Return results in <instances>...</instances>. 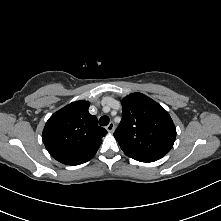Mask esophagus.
Here are the masks:
<instances>
[{
	"instance_id": "34e87169",
	"label": "esophagus",
	"mask_w": 221,
	"mask_h": 221,
	"mask_svg": "<svg viewBox=\"0 0 221 221\" xmlns=\"http://www.w3.org/2000/svg\"><path fill=\"white\" fill-rule=\"evenodd\" d=\"M106 130L109 132V133H113L114 130H115V125L113 122H110L107 126H106Z\"/></svg>"
}]
</instances>
